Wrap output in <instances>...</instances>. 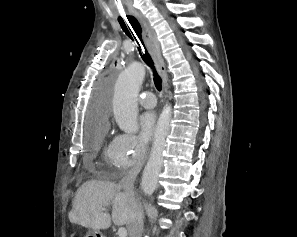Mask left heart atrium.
Wrapping results in <instances>:
<instances>
[{
  "instance_id": "39dd6f15",
  "label": "left heart atrium",
  "mask_w": 297,
  "mask_h": 237,
  "mask_svg": "<svg viewBox=\"0 0 297 237\" xmlns=\"http://www.w3.org/2000/svg\"><path fill=\"white\" fill-rule=\"evenodd\" d=\"M139 124L141 137L145 142H148L152 138L156 128L155 113L152 111L143 113L139 118Z\"/></svg>"
}]
</instances>
